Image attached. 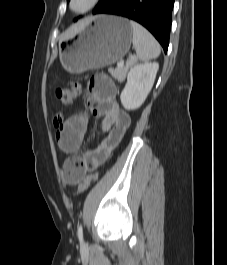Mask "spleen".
I'll return each instance as SVG.
<instances>
[{
	"instance_id": "obj_1",
	"label": "spleen",
	"mask_w": 227,
	"mask_h": 265,
	"mask_svg": "<svg viewBox=\"0 0 227 265\" xmlns=\"http://www.w3.org/2000/svg\"><path fill=\"white\" fill-rule=\"evenodd\" d=\"M133 31L132 42L140 61L155 59L160 55L161 47L156 39L143 26L130 21Z\"/></svg>"
}]
</instances>
